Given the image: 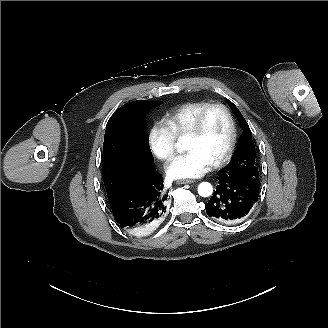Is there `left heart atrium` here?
Here are the masks:
<instances>
[{
	"instance_id": "obj_1",
	"label": "left heart atrium",
	"mask_w": 328,
	"mask_h": 328,
	"mask_svg": "<svg viewBox=\"0 0 328 328\" xmlns=\"http://www.w3.org/2000/svg\"><path fill=\"white\" fill-rule=\"evenodd\" d=\"M211 166L212 162L207 156L192 149L168 161L165 170L174 179H192L203 176Z\"/></svg>"
}]
</instances>
